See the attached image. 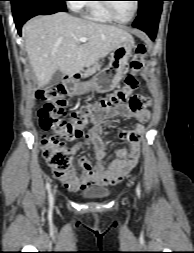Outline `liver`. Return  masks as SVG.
Instances as JSON below:
<instances>
[{"instance_id":"obj_1","label":"liver","mask_w":194,"mask_h":253,"mask_svg":"<svg viewBox=\"0 0 194 253\" xmlns=\"http://www.w3.org/2000/svg\"><path fill=\"white\" fill-rule=\"evenodd\" d=\"M26 51L38 85L45 86L56 71L72 76L106 57L124 41L126 30L59 12L29 20L22 29ZM80 38H86L82 43Z\"/></svg>"}]
</instances>
